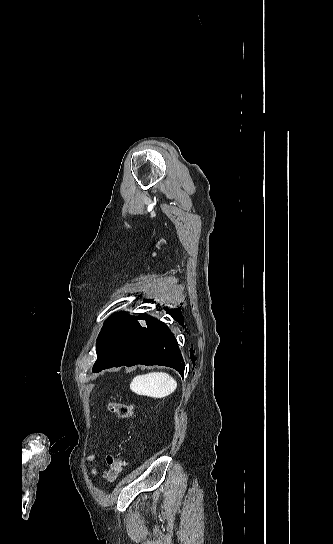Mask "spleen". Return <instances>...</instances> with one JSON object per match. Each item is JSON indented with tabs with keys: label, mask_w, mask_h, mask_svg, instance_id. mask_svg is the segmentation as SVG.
<instances>
[{
	"label": "spleen",
	"mask_w": 333,
	"mask_h": 544,
	"mask_svg": "<svg viewBox=\"0 0 333 544\" xmlns=\"http://www.w3.org/2000/svg\"><path fill=\"white\" fill-rule=\"evenodd\" d=\"M130 388L138 395L158 399L172 394L177 388V382L167 373L151 372L136 376L131 382Z\"/></svg>",
	"instance_id": "3e777b00"
}]
</instances>
